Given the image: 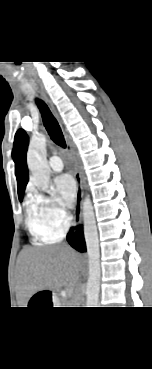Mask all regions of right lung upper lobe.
Segmentation results:
<instances>
[{
  "label": "right lung upper lobe",
  "instance_id": "1",
  "mask_svg": "<svg viewBox=\"0 0 152 369\" xmlns=\"http://www.w3.org/2000/svg\"><path fill=\"white\" fill-rule=\"evenodd\" d=\"M28 136L23 129H19L15 135L12 158L15 162V175L19 200L22 201L24 190L28 182V168L26 164V152Z\"/></svg>",
  "mask_w": 152,
  "mask_h": 369
}]
</instances>
